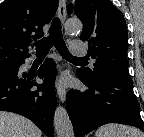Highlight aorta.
Returning a JSON list of instances; mask_svg holds the SVG:
<instances>
[{"mask_svg":"<svg viewBox=\"0 0 144 137\" xmlns=\"http://www.w3.org/2000/svg\"><path fill=\"white\" fill-rule=\"evenodd\" d=\"M67 32H78L82 29L79 20H68L65 24ZM54 129L57 137H74L73 126L67 110L62 106H57L54 113Z\"/></svg>","mask_w":144,"mask_h":137,"instance_id":"aorta-1","label":"aorta"}]
</instances>
